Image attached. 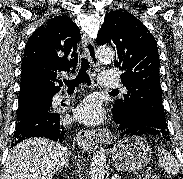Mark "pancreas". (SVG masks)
Returning a JSON list of instances; mask_svg holds the SVG:
<instances>
[{
	"label": "pancreas",
	"mask_w": 183,
	"mask_h": 179,
	"mask_svg": "<svg viewBox=\"0 0 183 179\" xmlns=\"http://www.w3.org/2000/svg\"><path fill=\"white\" fill-rule=\"evenodd\" d=\"M148 179H160V178H159V176L154 175V176H151V177L148 178Z\"/></svg>",
	"instance_id": "cf45deb5"
}]
</instances>
